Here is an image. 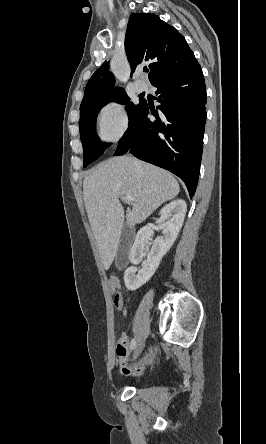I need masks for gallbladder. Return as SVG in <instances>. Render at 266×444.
<instances>
[{
  "mask_svg": "<svg viewBox=\"0 0 266 444\" xmlns=\"http://www.w3.org/2000/svg\"><path fill=\"white\" fill-rule=\"evenodd\" d=\"M131 239V232L127 225H124L122 229V233L120 236V242L119 247L117 250L116 258H115V265L117 269L121 270L125 267L127 263V256H128V248L129 243Z\"/></svg>",
  "mask_w": 266,
  "mask_h": 444,
  "instance_id": "1",
  "label": "gallbladder"
}]
</instances>
